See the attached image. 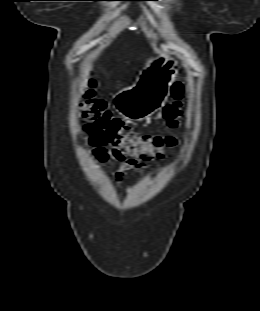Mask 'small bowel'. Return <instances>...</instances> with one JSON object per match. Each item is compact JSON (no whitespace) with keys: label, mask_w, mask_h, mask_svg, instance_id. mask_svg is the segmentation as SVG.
I'll use <instances>...</instances> for the list:
<instances>
[{"label":"small bowel","mask_w":260,"mask_h":311,"mask_svg":"<svg viewBox=\"0 0 260 311\" xmlns=\"http://www.w3.org/2000/svg\"><path fill=\"white\" fill-rule=\"evenodd\" d=\"M147 168L146 163L135 159L127 158L121 161L119 168L115 172V179L118 183H122L127 171L142 170Z\"/></svg>","instance_id":"obj_1"}]
</instances>
